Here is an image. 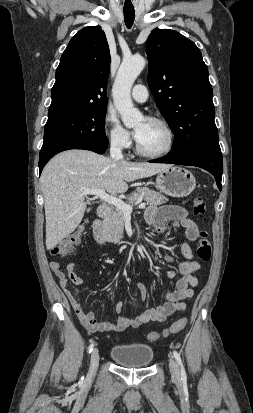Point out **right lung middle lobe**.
<instances>
[{
	"mask_svg": "<svg viewBox=\"0 0 253 413\" xmlns=\"http://www.w3.org/2000/svg\"><path fill=\"white\" fill-rule=\"evenodd\" d=\"M106 108L67 110L48 115L42 148L66 141L91 143L106 140Z\"/></svg>",
	"mask_w": 253,
	"mask_h": 413,
	"instance_id": "1",
	"label": "right lung middle lobe"
}]
</instances>
